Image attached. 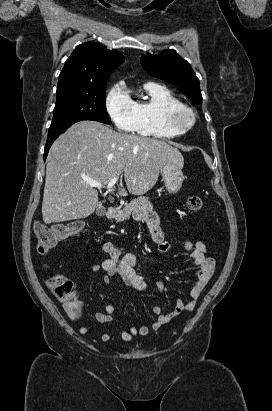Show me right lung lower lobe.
<instances>
[{
  "label": "right lung lower lobe",
  "mask_w": 272,
  "mask_h": 411,
  "mask_svg": "<svg viewBox=\"0 0 272 411\" xmlns=\"http://www.w3.org/2000/svg\"><path fill=\"white\" fill-rule=\"evenodd\" d=\"M57 138H58V136L47 139V142H46V145H45V149H44V161L46 160V157H47V155H48V151H49L52 143H53Z\"/></svg>",
  "instance_id": "98d812e1"
}]
</instances>
